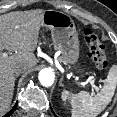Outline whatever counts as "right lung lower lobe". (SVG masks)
<instances>
[{
    "label": "right lung lower lobe",
    "instance_id": "1",
    "mask_svg": "<svg viewBox=\"0 0 117 117\" xmlns=\"http://www.w3.org/2000/svg\"><path fill=\"white\" fill-rule=\"evenodd\" d=\"M15 110V108H13L11 111H10V113H8L6 116H4V117H9L10 115H11V113L13 112Z\"/></svg>",
    "mask_w": 117,
    "mask_h": 117
}]
</instances>
